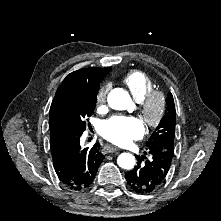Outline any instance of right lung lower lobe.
Instances as JSON below:
<instances>
[{
	"instance_id": "right-lung-lower-lobe-1",
	"label": "right lung lower lobe",
	"mask_w": 221,
	"mask_h": 221,
	"mask_svg": "<svg viewBox=\"0 0 221 221\" xmlns=\"http://www.w3.org/2000/svg\"><path fill=\"white\" fill-rule=\"evenodd\" d=\"M81 134L64 135L50 143L57 176L61 183L71 190L89 187L104 158L99 152V143H95L91 149L81 148Z\"/></svg>"
}]
</instances>
